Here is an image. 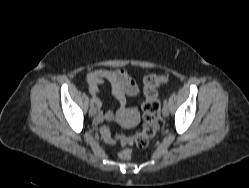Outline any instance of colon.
<instances>
[{
    "instance_id": "obj_1",
    "label": "colon",
    "mask_w": 249,
    "mask_h": 188,
    "mask_svg": "<svg viewBox=\"0 0 249 188\" xmlns=\"http://www.w3.org/2000/svg\"><path fill=\"white\" fill-rule=\"evenodd\" d=\"M167 82L166 75H148L144 79L143 94V126L142 130L137 132L133 137L122 135H113L110 128L103 126L101 133L104 140L110 144L120 142L124 145L135 144L138 147H145L149 140L155 136L160 122V103L157 97V87ZM123 160L131 158V150L124 149L119 153Z\"/></svg>"
}]
</instances>
